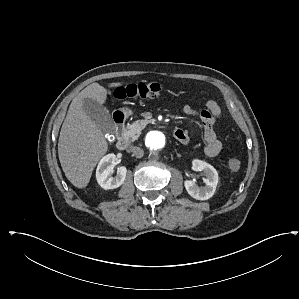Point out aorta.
Instances as JSON below:
<instances>
[{"label":"aorta","instance_id":"762f6f07","mask_svg":"<svg viewBox=\"0 0 299 299\" xmlns=\"http://www.w3.org/2000/svg\"><path fill=\"white\" fill-rule=\"evenodd\" d=\"M147 148L153 152L161 151L166 145V137L161 131H150L145 138Z\"/></svg>","mask_w":299,"mask_h":299}]
</instances>
